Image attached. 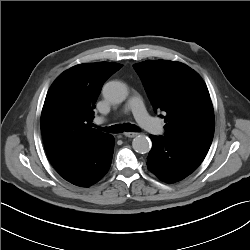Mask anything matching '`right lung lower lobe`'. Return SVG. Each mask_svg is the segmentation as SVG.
Here are the masks:
<instances>
[{
  "label": "right lung lower lobe",
  "mask_w": 250,
  "mask_h": 250,
  "mask_svg": "<svg viewBox=\"0 0 250 250\" xmlns=\"http://www.w3.org/2000/svg\"><path fill=\"white\" fill-rule=\"evenodd\" d=\"M114 151V137L107 136L99 144L56 171L68 182L89 187L98 182L109 170Z\"/></svg>",
  "instance_id": "obj_1"
}]
</instances>
